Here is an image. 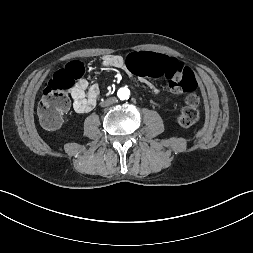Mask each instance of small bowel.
<instances>
[{
  "mask_svg": "<svg viewBox=\"0 0 253 253\" xmlns=\"http://www.w3.org/2000/svg\"><path fill=\"white\" fill-rule=\"evenodd\" d=\"M128 57V56H127ZM127 57L124 58L117 54H106L101 58L100 66L111 69H122L130 74H135L127 66ZM139 76V75H137ZM139 78L154 92H158V89L147 80V76H139ZM99 87L97 85L89 86L86 79H79L77 84L71 91V97L73 99V108L78 113L90 112L96 105L99 97Z\"/></svg>",
  "mask_w": 253,
  "mask_h": 253,
  "instance_id": "1",
  "label": "small bowel"
}]
</instances>
